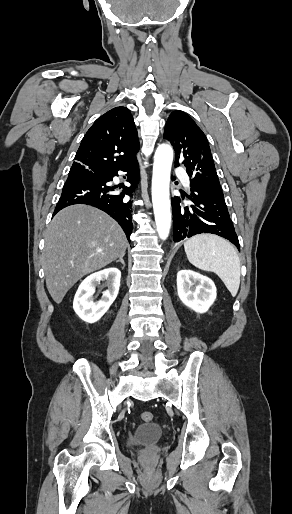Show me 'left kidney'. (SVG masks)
Listing matches in <instances>:
<instances>
[{
  "label": "left kidney",
  "mask_w": 292,
  "mask_h": 514,
  "mask_svg": "<svg viewBox=\"0 0 292 514\" xmlns=\"http://www.w3.org/2000/svg\"><path fill=\"white\" fill-rule=\"evenodd\" d=\"M178 296L194 312H207L216 300V286L207 276L192 270H180L177 274Z\"/></svg>",
  "instance_id": "1"
}]
</instances>
